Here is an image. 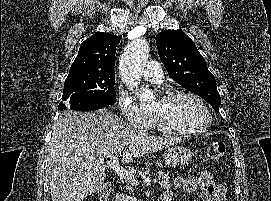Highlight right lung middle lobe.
<instances>
[{
  "label": "right lung middle lobe",
  "mask_w": 271,
  "mask_h": 201,
  "mask_svg": "<svg viewBox=\"0 0 271 201\" xmlns=\"http://www.w3.org/2000/svg\"><path fill=\"white\" fill-rule=\"evenodd\" d=\"M115 74L69 73L63 89V102L81 100L86 106L112 105L115 102Z\"/></svg>",
  "instance_id": "1"
}]
</instances>
